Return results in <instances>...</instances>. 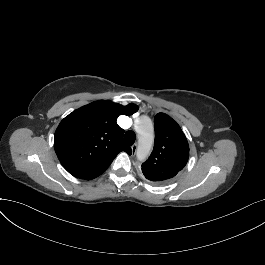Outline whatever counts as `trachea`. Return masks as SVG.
I'll use <instances>...</instances> for the list:
<instances>
[{
	"label": "trachea",
	"instance_id": "1",
	"mask_svg": "<svg viewBox=\"0 0 265 265\" xmlns=\"http://www.w3.org/2000/svg\"><path fill=\"white\" fill-rule=\"evenodd\" d=\"M124 139L127 144L133 145L136 140V134L133 131H127L124 136Z\"/></svg>",
	"mask_w": 265,
	"mask_h": 265
}]
</instances>
